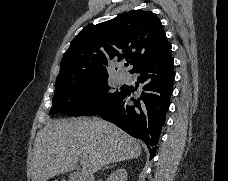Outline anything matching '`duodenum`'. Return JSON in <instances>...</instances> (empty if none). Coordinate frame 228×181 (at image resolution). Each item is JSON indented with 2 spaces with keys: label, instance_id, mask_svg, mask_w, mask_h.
<instances>
[{
  "label": "duodenum",
  "instance_id": "obj_1",
  "mask_svg": "<svg viewBox=\"0 0 228 181\" xmlns=\"http://www.w3.org/2000/svg\"><path fill=\"white\" fill-rule=\"evenodd\" d=\"M73 179H84V174H72ZM78 181V180H75Z\"/></svg>",
  "mask_w": 228,
  "mask_h": 181
}]
</instances>
